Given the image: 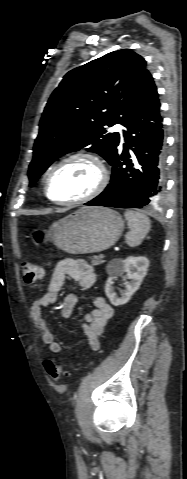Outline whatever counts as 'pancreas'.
Returning <instances> with one entry per match:
<instances>
[{
    "label": "pancreas",
    "instance_id": "obj_1",
    "mask_svg": "<svg viewBox=\"0 0 187 479\" xmlns=\"http://www.w3.org/2000/svg\"><path fill=\"white\" fill-rule=\"evenodd\" d=\"M91 263L93 266H96L104 263V260L100 256L95 255L91 257Z\"/></svg>",
    "mask_w": 187,
    "mask_h": 479
}]
</instances>
